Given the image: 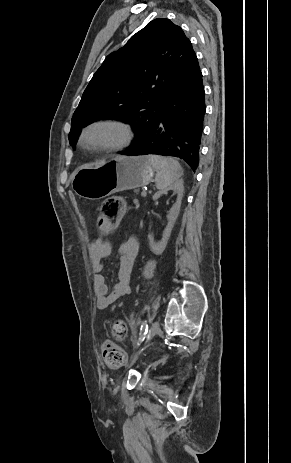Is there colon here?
Instances as JSON below:
<instances>
[{
    "mask_svg": "<svg viewBox=\"0 0 291 463\" xmlns=\"http://www.w3.org/2000/svg\"><path fill=\"white\" fill-rule=\"evenodd\" d=\"M124 212V201L119 197L105 200L98 214V231H113ZM126 333L124 324L114 325L113 334L117 338H123ZM102 357L105 364L111 368L122 366L126 360L123 349L112 340H106L102 346Z\"/></svg>",
    "mask_w": 291,
    "mask_h": 463,
    "instance_id": "obj_1",
    "label": "colon"
}]
</instances>
